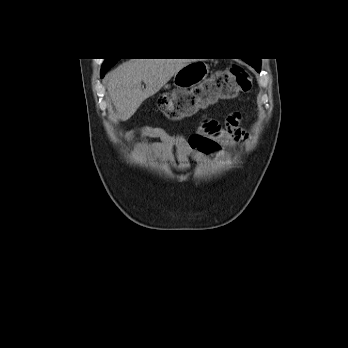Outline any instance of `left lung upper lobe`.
<instances>
[{"label": "left lung upper lobe", "instance_id": "1", "mask_svg": "<svg viewBox=\"0 0 348 348\" xmlns=\"http://www.w3.org/2000/svg\"><path fill=\"white\" fill-rule=\"evenodd\" d=\"M248 64H250L251 66H253L257 71L260 72L261 69V63H260V59H255V60H248L246 61Z\"/></svg>", "mask_w": 348, "mask_h": 348}]
</instances>
